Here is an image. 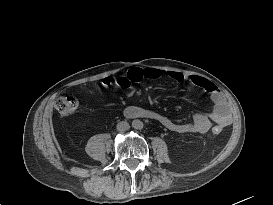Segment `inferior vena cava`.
I'll use <instances>...</instances> for the list:
<instances>
[{
	"mask_svg": "<svg viewBox=\"0 0 273 205\" xmlns=\"http://www.w3.org/2000/svg\"><path fill=\"white\" fill-rule=\"evenodd\" d=\"M116 128L118 131L124 132L127 131L130 128V126L126 121H121L117 124Z\"/></svg>",
	"mask_w": 273,
	"mask_h": 205,
	"instance_id": "obj_1",
	"label": "inferior vena cava"
}]
</instances>
